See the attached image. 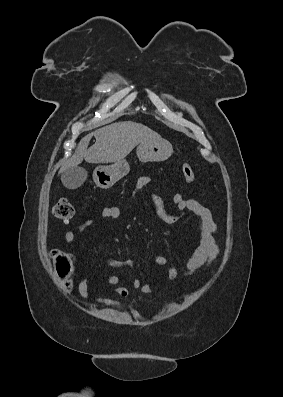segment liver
<instances>
[{"label": "liver", "mask_w": 283, "mask_h": 397, "mask_svg": "<svg viewBox=\"0 0 283 397\" xmlns=\"http://www.w3.org/2000/svg\"><path fill=\"white\" fill-rule=\"evenodd\" d=\"M92 136L96 142L88 148ZM159 139L161 136L157 132L140 123L124 121L110 124L82 138L63 170L76 167L83 160L96 164L115 163L123 160L138 144Z\"/></svg>", "instance_id": "6515ba94"}]
</instances>
